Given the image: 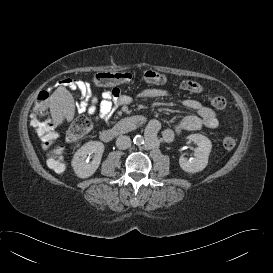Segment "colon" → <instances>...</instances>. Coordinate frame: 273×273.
I'll return each instance as SVG.
<instances>
[{
    "mask_svg": "<svg viewBox=\"0 0 273 273\" xmlns=\"http://www.w3.org/2000/svg\"><path fill=\"white\" fill-rule=\"evenodd\" d=\"M133 74L129 72H100L94 76V83L98 86H115L123 83H129L133 80ZM142 79L148 84L162 85L167 82L164 74L155 70H147L143 72ZM187 80L183 81L185 83ZM188 88L193 92H199L201 85L195 81L188 80ZM50 92L43 90L38 94L36 105L31 115V125L36 130L40 137L43 146L48 150L47 162L49 166L60 173L65 169L63 162V148L57 145L58 132L55 124L51 121L48 111V100ZM210 103L216 109H224L226 106V99L221 95H211L209 97ZM92 128V122L87 116H79L71 124L67 132V139L69 141H77L85 136ZM236 145V140L232 136L223 138L224 148L230 150Z\"/></svg>",
    "mask_w": 273,
    "mask_h": 273,
    "instance_id": "obj_1",
    "label": "colon"
}]
</instances>
